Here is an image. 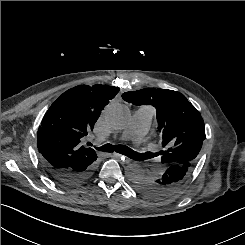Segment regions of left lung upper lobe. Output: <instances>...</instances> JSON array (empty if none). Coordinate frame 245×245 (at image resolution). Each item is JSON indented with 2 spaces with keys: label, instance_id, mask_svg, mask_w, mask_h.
I'll use <instances>...</instances> for the list:
<instances>
[{
  "label": "left lung upper lobe",
  "instance_id": "left-lung-upper-lobe-1",
  "mask_svg": "<svg viewBox=\"0 0 245 245\" xmlns=\"http://www.w3.org/2000/svg\"><path fill=\"white\" fill-rule=\"evenodd\" d=\"M134 105H152L157 110L158 131L162 134L160 151L163 164L187 160L195 162L205 136L201 114L177 91L145 88L122 94Z\"/></svg>",
  "mask_w": 245,
  "mask_h": 245
}]
</instances>
